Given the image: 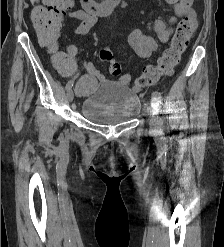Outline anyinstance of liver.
<instances>
[{"label": "liver", "instance_id": "obj_1", "mask_svg": "<svg viewBox=\"0 0 224 247\" xmlns=\"http://www.w3.org/2000/svg\"><path fill=\"white\" fill-rule=\"evenodd\" d=\"M31 4H34V2H36V0H30Z\"/></svg>", "mask_w": 224, "mask_h": 247}]
</instances>
